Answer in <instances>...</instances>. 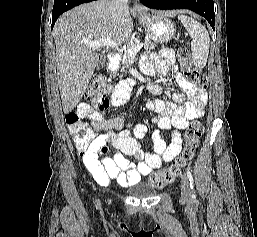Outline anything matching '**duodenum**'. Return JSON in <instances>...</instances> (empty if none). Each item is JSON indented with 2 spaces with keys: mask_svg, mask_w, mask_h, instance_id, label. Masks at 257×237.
<instances>
[{
  "mask_svg": "<svg viewBox=\"0 0 257 237\" xmlns=\"http://www.w3.org/2000/svg\"><path fill=\"white\" fill-rule=\"evenodd\" d=\"M118 62H119V58H118L117 55L112 54V55L109 57V63H108V64H109V67H110L111 69H114V68L117 66Z\"/></svg>",
  "mask_w": 257,
  "mask_h": 237,
  "instance_id": "410a0bca",
  "label": "duodenum"
}]
</instances>
